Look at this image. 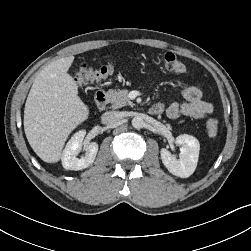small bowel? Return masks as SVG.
Masks as SVG:
<instances>
[{
	"instance_id": "small-bowel-1",
	"label": "small bowel",
	"mask_w": 251,
	"mask_h": 251,
	"mask_svg": "<svg viewBox=\"0 0 251 251\" xmlns=\"http://www.w3.org/2000/svg\"><path fill=\"white\" fill-rule=\"evenodd\" d=\"M202 88L199 84H191L182 88L184 102H174L166 106L159 102L161 112H165L170 119H177L180 116L201 119L213 111V105L202 99ZM159 113V114H160Z\"/></svg>"
}]
</instances>
